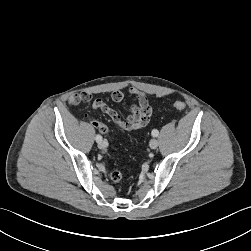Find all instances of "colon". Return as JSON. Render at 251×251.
<instances>
[{
	"mask_svg": "<svg viewBox=\"0 0 251 251\" xmlns=\"http://www.w3.org/2000/svg\"><path fill=\"white\" fill-rule=\"evenodd\" d=\"M186 105L182 101H176L173 103V108L178 111H183ZM85 117L90 121V123L103 133L108 132V128L105 124L99 122L98 120L92 118L90 115L86 114ZM111 180L116 185H120L123 179V174L120 170H114L110 175Z\"/></svg>",
	"mask_w": 251,
	"mask_h": 251,
	"instance_id": "colon-1",
	"label": "colon"
}]
</instances>
